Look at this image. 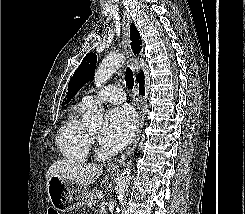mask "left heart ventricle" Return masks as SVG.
I'll return each mask as SVG.
<instances>
[{
	"label": "left heart ventricle",
	"instance_id": "1",
	"mask_svg": "<svg viewBox=\"0 0 245 214\" xmlns=\"http://www.w3.org/2000/svg\"><path fill=\"white\" fill-rule=\"evenodd\" d=\"M96 130H89V133L91 134V135H95L96 134Z\"/></svg>",
	"mask_w": 245,
	"mask_h": 214
}]
</instances>
